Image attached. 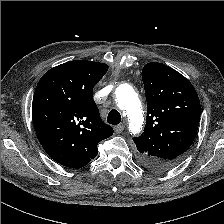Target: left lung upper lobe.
<instances>
[{
	"instance_id": "5c2ea615",
	"label": "left lung upper lobe",
	"mask_w": 224,
	"mask_h": 224,
	"mask_svg": "<svg viewBox=\"0 0 224 224\" xmlns=\"http://www.w3.org/2000/svg\"><path fill=\"white\" fill-rule=\"evenodd\" d=\"M142 79L147 100L146 125L141 137L133 141L146 168L166 171L181 161L194 141L200 101L190 81L164 64H146Z\"/></svg>"
}]
</instances>
